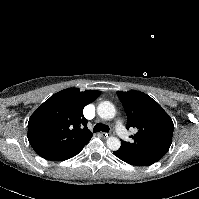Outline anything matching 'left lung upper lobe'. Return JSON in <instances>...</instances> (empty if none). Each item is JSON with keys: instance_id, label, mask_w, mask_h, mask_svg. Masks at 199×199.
Listing matches in <instances>:
<instances>
[{"instance_id": "1", "label": "left lung upper lobe", "mask_w": 199, "mask_h": 199, "mask_svg": "<svg viewBox=\"0 0 199 199\" xmlns=\"http://www.w3.org/2000/svg\"><path fill=\"white\" fill-rule=\"evenodd\" d=\"M127 118V129L136 128L133 141L121 140L126 148L160 160L172 143L174 124L164 109L150 96L140 91H118Z\"/></svg>"}]
</instances>
